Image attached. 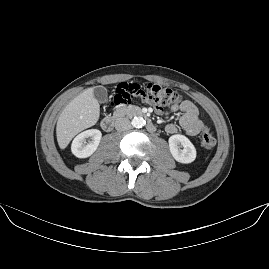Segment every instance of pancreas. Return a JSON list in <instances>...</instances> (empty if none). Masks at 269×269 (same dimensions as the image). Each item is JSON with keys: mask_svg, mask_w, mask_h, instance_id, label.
Instances as JSON below:
<instances>
[{"mask_svg": "<svg viewBox=\"0 0 269 269\" xmlns=\"http://www.w3.org/2000/svg\"><path fill=\"white\" fill-rule=\"evenodd\" d=\"M139 110H140V108L137 106H134V105L125 106L123 109V111H126V112H137Z\"/></svg>", "mask_w": 269, "mask_h": 269, "instance_id": "1", "label": "pancreas"}]
</instances>
